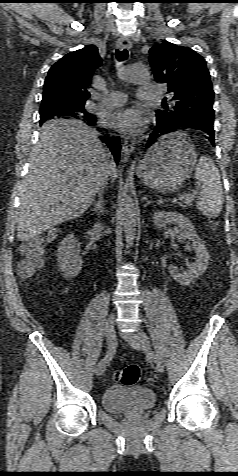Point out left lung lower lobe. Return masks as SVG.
<instances>
[{
	"label": "left lung lower lobe",
	"mask_w": 238,
	"mask_h": 476,
	"mask_svg": "<svg viewBox=\"0 0 238 476\" xmlns=\"http://www.w3.org/2000/svg\"><path fill=\"white\" fill-rule=\"evenodd\" d=\"M184 127V128H191L196 130L204 131L208 134L206 138L211 142V144L215 145L214 139V129H213V119L202 117L200 115L189 116L180 119H171V120H164V121H157V125L154 131L150 134L148 141L146 143L145 148L152 147L153 144L157 141V139L162 136L163 131L168 129Z\"/></svg>",
	"instance_id": "obj_1"
}]
</instances>
